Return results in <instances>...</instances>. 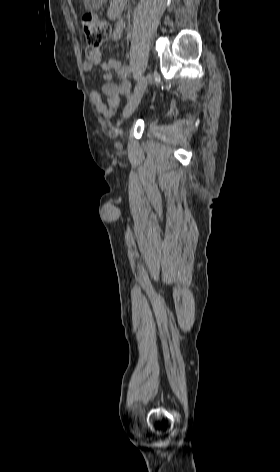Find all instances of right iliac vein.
<instances>
[{
	"mask_svg": "<svg viewBox=\"0 0 280 472\" xmlns=\"http://www.w3.org/2000/svg\"><path fill=\"white\" fill-rule=\"evenodd\" d=\"M146 87H147V77H142L138 81L135 87L134 94L132 95V97L130 98L129 102L127 103L124 109V112H123L124 119L129 118L132 115V113L135 111V109L138 107L142 99V96L146 90Z\"/></svg>",
	"mask_w": 280,
	"mask_h": 472,
	"instance_id": "obj_1",
	"label": "right iliac vein"
}]
</instances>
